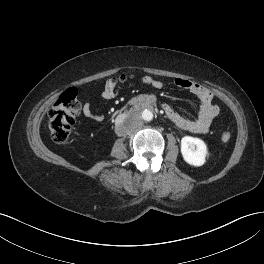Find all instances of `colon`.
Listing matches in <instances>:
<instances>
[{
    "label": "colon",
    "instance_id": "colon-1",
    "mask_svg": "<svg viewBox=\"0 0 264 264\" xmlns=\"http://www.w3.org/2000/svg\"><path fill=\"white\" fill-rule=\"evenodd\" d=\"M112 89L118 91L133 85V78L127 75H121L112 78L107 82ZM80 111V105L77 101V92L75 89L64 91L57 101L52 105L48 115V128L52 139L60 144L69 142L76 116ZM231 133L224 131L221 139L224 142L229 141Z\"/></svg>",
    "mask_w": 264,
    "mask_h": 264
}]
</instances>
